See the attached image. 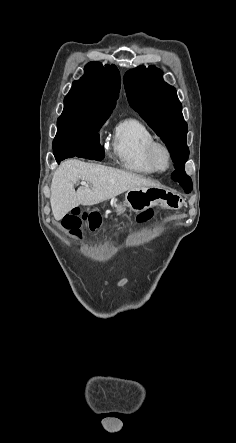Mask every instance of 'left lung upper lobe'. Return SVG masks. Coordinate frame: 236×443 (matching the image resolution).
Here are the masks:
<instances>
[{"label":"left lung upper lobe","instance_id":"left-lung-upper-lobe-1","mask_svg":"<svg viewBox=\"0 0 236 443\" xmlns=\"http://www.w3.org/2000/svg\"><path fill=\"white\" fill-rule=\"evenodd\" d=\"M131 107L137 111L168 147L175 169L185 167L189 156L187 123L176 89L165 83L155 66H138L124 75Z\"/></svg>","mask_w":236,"mask_h":443}]
</instances>
